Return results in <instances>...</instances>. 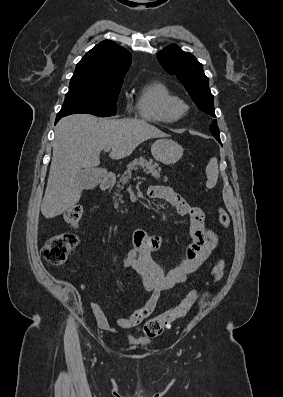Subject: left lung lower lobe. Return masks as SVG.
<instances>
[{
    "label": "left lung lower lobe",
    "mask_w": 283,
    "mask_h": 397,
    "mask_svg": "<svg viewBox=\"0 0 283 397\" xmlns=\"http://www.w3.org/2000/svg\"><path fill=\"white\" fill-rule=\"evenodd\" d=\"M216 138V140L221 144V140H220V137H215Z\"/></svg>",
    "instance_id": "0a47b994"
}]
</instances>
